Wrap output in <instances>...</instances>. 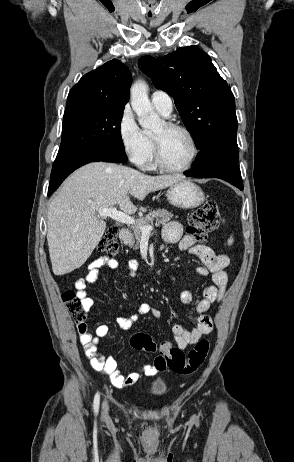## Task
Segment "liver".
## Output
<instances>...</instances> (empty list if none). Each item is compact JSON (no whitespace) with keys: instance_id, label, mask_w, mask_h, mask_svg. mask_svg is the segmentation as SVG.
I'll list each match as a JSON object with an SVG mask.
<instances>
[{"instance_id":"1","label":"liver","mask_w":294,"mask_h":462,"mask_svg":"<svg viewBox=\"0 0 294 462\" xmlns=\"http://www.w3.org/2000/svg\"><path fill=\"white\" fill-rule=\"evenodd\" d=\"M185 179L183 175L150 176L112 163L93 162L77 169L63 183L48 209L47 242L53 273L61 276L81 267L100 242L106 222L98 210L118 206L127 214L151 192Z\"/></svg>"}]
</instances>
